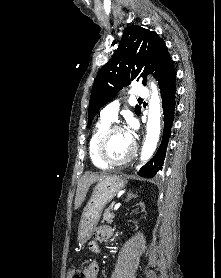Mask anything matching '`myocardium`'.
I'll list each match as a JSON object with an SVG mask.
<instances>
[{
  "label": "myocardium",
  "instance_id": "obj_1",
  "mask_svg": "<svg viewBox=\"0 0 221 278\" xmlns=\"http://www.w3.org/2000/svg\"><path fill=\"white\" fill-rule=\"evenodd\" d=\"M115 131H123V132L127 133L125 128H123L122 126L113 124V125L108 126L103 131V133L99 137V140L97 143V156H98L99 160L107 167H120V166L127 164L134 158V156L136 155V151H137L136 143L132 140V149L127 157H125L124 159H122L120 161H112V160L108 159L106 156V153H105L106 146H107L108 139L110 138L112 133H114Z\"/></svg>",
  "mask_w": 221,
  "mask_h": 278
}]
</instances>
